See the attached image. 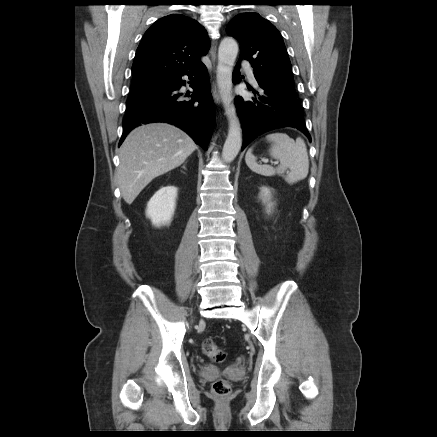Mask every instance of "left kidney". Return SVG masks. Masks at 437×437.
<instances>
[{
  "mask_svg": "<svg viewBox=\"0 0 437 437\" xmlns=\"http://www.w3.org/2000/svg\"><path fill=\"white\" fill-rule=\"evenodd\" d=\"M261 191H262V200L264 203L267 202V206L269 208V210L267 212H270V208L272 206V203H269V200L271 197L270 189H268L267 187H262Z\"/></svg>",
  "mask_w": 437,
  "mask_h": 437,
  "instance_id": "5707ae66",
  "label": "left kidney"
}]
</instances>
